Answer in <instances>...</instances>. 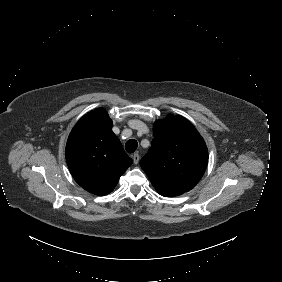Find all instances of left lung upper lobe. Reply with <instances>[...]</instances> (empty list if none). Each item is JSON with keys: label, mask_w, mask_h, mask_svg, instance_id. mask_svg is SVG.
Returning <instances> with one entry per match:
<instances>
[{"label": "left lung upper lobe", "mask_w": 282, "mask_h": 282, "mask_svg": "<svg viewBox=\"0 0 282 282\" xmlns=\"http://www.w3.org/2000/svg\"><path fill=\"white\" fill-rule=\"evenodd\" d=\"M153 134L140 166L155 189L179 194L191 190L208 163V150L201 135L187 119L172 114L154 123Z\"/></svg>", "instance_id": "left-lung-upper-lobe-1"}]
</instances>
